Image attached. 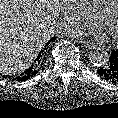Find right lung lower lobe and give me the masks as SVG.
Listing matches in <instances>:
<instances>
[{"instance_id": "1", "label": "right lung lower lobe", "mask_w": 118, "mask_h": 118, "mask_svg": "<svg viewBox=\"0 0 118 118\" xmlns=\"http://www.w3.org/2000/svg\"><path fill=\"white\" fill-rule=\"evenodd\" d=\"M55 38H52L54 40ZM43 52V51H42ZM42 52L39 53L38 57L36 58V63L32 64L30 68H28L26 71H24L22 74L14 78L18 81H24L28 80L31 77L35 76L37 72L39 71L40 67L43 65V58H42Z\"/></svg>"}]
</instances>
